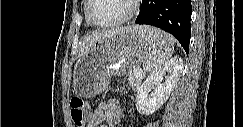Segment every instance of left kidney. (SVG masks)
Instances as JSON below:
<instances>
[{"instance_id": "obj_1", "label": "left kidney", "mask_w": 243, "mask_h": 127, "mask_svg": "<svg viewBox=\"0 0 243 127\" xmlns=\"http://www.w3.org/2000/svg\"><path fill=\"white\" fill-rule=\"evenodd\" d=\"M182 70L183 60L176 56L147 77L136 94V108L140 114H153L167 101Z\"/></svg>"}]
</instances>
